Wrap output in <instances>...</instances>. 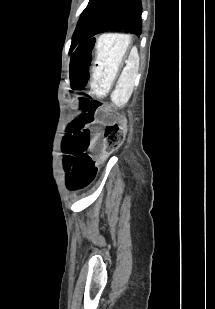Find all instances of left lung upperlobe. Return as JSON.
Masks as SVG:
<instances>
[{"label":"left lung upper lobe","mask_w":215,"mask_h":309,"mask_svg":"<svg viewBox=\"0 0 215 309\" xmlns=\"http://www.w3.org/2000/svg\"><path fill=\"white\" fill-rule=\"evenodd\" d=\"M141 0H90L72 37V47L111 30L142 33Z\"/></svg>","instance_id":"left-lung-upper-lobe-1"}]
</instances>
